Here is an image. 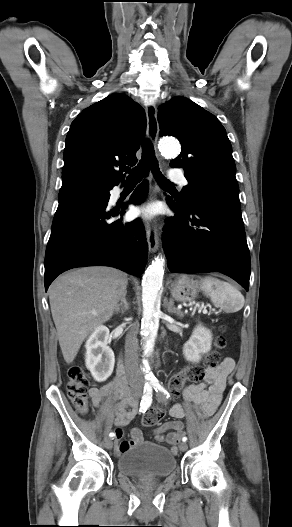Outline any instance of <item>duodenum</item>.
I'll return each instance as SVG.
<instances>
[{"label":"duodenum","instance_id":"410a0bca","mask_svg":"<svg viewBox=\"0 0 292 527\" xmlns=\"http://www.w3.org/2000/svg\"><path fill=\"white\" fill-rule=\"evenodd\" d=\"M118 376H119V378H120L122 381H124V382L126 381V378H125V376H124V369H123V366H122V365L119 366Z\"/></svg>","mask_w":292,"mask_h":527}]
</instances>
